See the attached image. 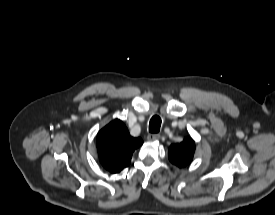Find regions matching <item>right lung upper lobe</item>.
<instances>
[{"label":"right lung upper lobe","instance_id":"1","mask_svg":"<svg viewBox=\"0 0 275 215\" xmlns=\"http://www.w3.org/2000/svg\"><path fill=\"white\" fill-rule=\"evenodd\" d=\"M143 144L141 138L130 136L124 123L115 119L97 135L101 164L111 173H118L131 162L133 151Z\"/></svg>","mask_w":275,"mask_h":215}]
</instances>
